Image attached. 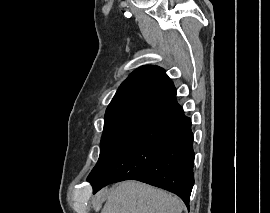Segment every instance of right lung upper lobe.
<instances>
[{"instance_id":"cb5924a9","label":"right lung upper lobe","mask_w":270,"mask_h":213,"mask_svg":"<svg viewBox=\"0 0 270 213\" xmlns=\"http://www.w3.org/2000/svg\"><path fill=\"white\" fill-rule=\"evenodd\" d=\"M175 96L176 89L164 69L146 65L133 71L121 84L106 112L133 104L157 106Z\"/></svg>"}]
</instances>
